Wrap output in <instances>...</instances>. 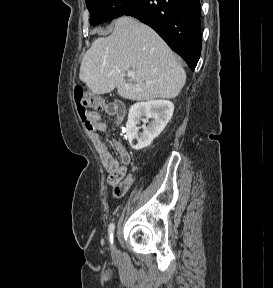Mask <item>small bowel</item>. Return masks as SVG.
Instances as JSON below:
<instances>
[{
	"label": "small bowel",
	"instance_id": "small-bowel-1",
	"mask_svg": "<svg viewBox=\"0 0 273 288\" xmlns=\"http://www.w3.org/2000/svg\"><path fill=\"white\" fill-rule=\"evenodd\" d=\"M105 111L108 115L116 117L119 122L123 121L126 115L124 105L118 102L109 103ZM105 131H107L106 123L101 120L99 115H96L94 127L89 131L90 136L101 156L103 166L107 172V182L113 187V195L120 198L126 194L133 184L137 165L133 166L132 173L127 172V166L132 162L130 153L121 142L113 140V146L118 153V157H115L100 137V133Z\"/></svg>",
	"mask_w": 273,
	"mask_h": 288
}]
</instances>
